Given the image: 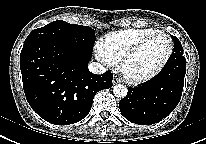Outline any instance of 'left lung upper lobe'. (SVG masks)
<instances>
[{"mask_svg":"<svg viewBox=\"0 0 206 144\" xmlns=\"http://www.w3.org/2000/svg\"><path fill=\"white\" fill-rule=\"evenodd\" d=\"M171 37L174 41V50H173V52H181L183 54V48L181 46L180 41L174 36H171Z\"/></svg>","mask_w":206,"mask_h":144,"instance_id":"obj_1","label":"left lung upper lobe"}]
</instances>
